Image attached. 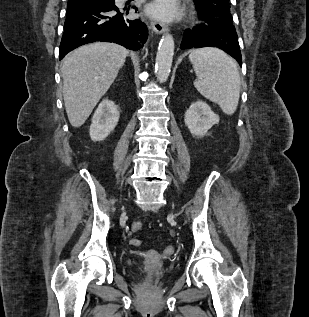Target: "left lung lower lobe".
<instances>
[{
  "label": "left lung lower lobe",
  "mask_w": 309,
  "mask_h": 317,
  "mask_svg": "<svg viewBox=\"0 0 309 317\" xmlns=\"http://www.w3.org/2000/svg\"><path fill=\"white\" fill-rule=\"evenodd\" d=\"M200 17L207 21L208 25H201L186 30L180 48L217 47L235 58L240 66H242V57L236 30L219 27L215 22L201 14Z\"/></svg>",
  "instance_id": "left-lung-lower-lobe-1"
}]
</instances>
